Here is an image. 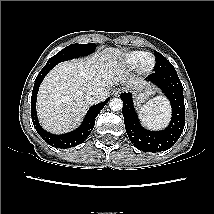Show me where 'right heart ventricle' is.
<instances>
[{
  "mask_svg": "<svg viewBox=\"0 0 214 214\" xmlns=\"http://www.w3.org/2000/svg\"><path fill=\"white\" fill-rule=\"evenodd\" d=\"M144 54L145 52L142 51H131L124 54L120 62L126 68H133L138 64Z\"/></svg>",
  "mask_w": 214,
  "mask_h": 214,
  "instance_id": "e07e8e85",
  "label": "right heart ventricle"
}]
</instances>
